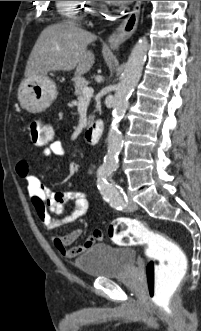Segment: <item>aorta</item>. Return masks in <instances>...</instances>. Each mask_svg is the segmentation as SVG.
<instances>
[{"label":"aorta","mask_w":201,"mask_h":331,"mask_svg":"<svg viewBox=\"0 0 201 331\" xmlns=\"http://www.w3.org/2000/svg\"><path fill=\"white\" fill-rule=\"evenodd\" d=\"M147 51L148 40L144 36L140 38L133 47L122 74L121 81L117 85L113 103L112 122L107 137V154L99 169L100 177L106 178L118 167V156L122 149L123 142L122 133L119 130V123L123 119L129 106L128 99L141 77Z\"/></svg>","instance_id":"obj_1"}]
</instances>
